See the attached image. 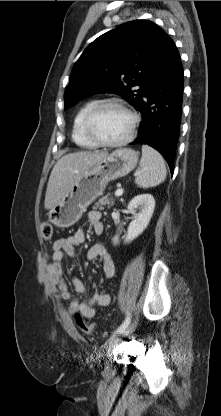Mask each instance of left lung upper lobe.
I'll return each instance as SVG.
<instances>
[{
	"mask_svg": "<svg viewBox=\"0 0 221 416\" xmlns=\"http://www.w3.org/2000/svg\"><path fill=\"white\" fill-rule=\"evenodd\" d=\"M166 36L153 22L134 20L98 37L72 69L64 109L102 92L116 93L138 109Z\"/></svg>",
	"mask_w": 221,
	"mask_h": 416,
	"instance_id": "obj_1",
	"label": "left lung upper lobe"
}]
</instances>
